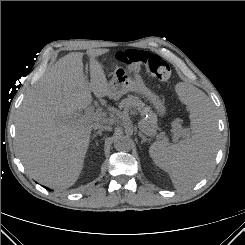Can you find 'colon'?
<instances>
[{
  "label": "colon",
  "mask_w": 245,
  "mask_h": 245,
  "mask_svg": "<svg viewBox=\"0 0 245 245\" xmlns=\"http://www.w3.org/2000/svg\"><path fill=\"white\" fill-rule=\"evenodd\" d=\"M116 59L126 65L131 72H137L144 67L152 77L163 82L172 76L170 65L156 54L129 49L117 53Z\"/></svg>",
  "instance_id": "1"
}]
</instances>
